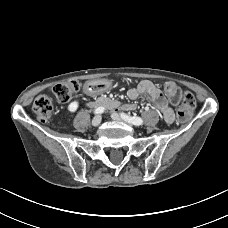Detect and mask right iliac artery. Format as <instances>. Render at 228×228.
Listing matches in <instances>:
<instances>
[{
  "instance_id": "82829eb1",
  "label": "right iliac artery",
  "mask_w": 228,
  "mask_h": 228,
  "mask_svg": "<svg viewBox=\"0 0 228 228\" xmlns=\"http://www.w3.org/2000/svg\"><path fill=\"white\" fill-rule=\"evenodd\" d=\"M104 110H105L104 107H98V108L95 109L94 113L95 114H101V113L104 112Z\"/></svg>"
}]
</instances>
